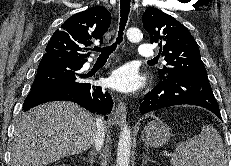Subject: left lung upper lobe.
Returning a JSON list of instances; mask_svg holds the SVG:
<instances>
[{"instance_id": "1", "label": "left lung upper lobe", "mask_w": 231, "mask_h": 166, "mask_svg": "<svg viewBox=\"0 0 231 166\" xmlns=\"http://www.w3.org/2000/svg\"><path fill=\"white\" fill-rule=\"evenodd\" d=\"M143 27L150 34V42L160 45L167 62V66L158 70L159 78L167 74L207 76L196 41L179 21L150 7L143 14Z\"/></svg>"}]
</instances>
